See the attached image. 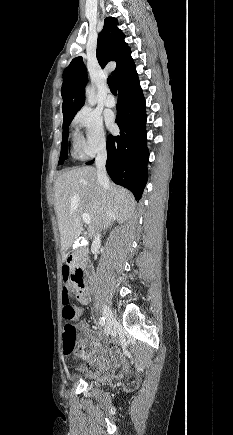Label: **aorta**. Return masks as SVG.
Listing matches in <instances>:
<instances>
[{
  "label": "aorta",
  "mask_w": 233,
  "mask_h": 435,
  "mask_svg": "<svg viewBox=\"0 0 233 435\" xmlns=\"http://www.w3.org/2000/svg\"><path fill=\"white\" fill-rule=\"evenodd\" d=\"M86 98H87L88 103L91 106L95 105L96 100H95V93H94V89L93 88H90V87L86 88Z\"/></svg>",
  "instance_id": "obj_1"
}]
</instances>
